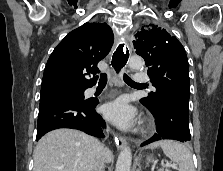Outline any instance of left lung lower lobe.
<instances>
[{
	"instance_id": "0a47b994",
	"label": "left lung lower lobe",
	"mask_w": 223,
	"mask_h": 171,
	"mask_svg": "<svg viewBox=\"0 0 223 171\" xmlns=\"http://www.w3.org/2000/svg\"><path fill=\"white\" fill-rule=\"evenodd\" d=\"M151 113L155 117L157 133L143 142L141 146L163 139L181 142L190 140L189 107L187 105L176 99L166 98Z\"/></svg>"
}]
</instances>
